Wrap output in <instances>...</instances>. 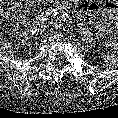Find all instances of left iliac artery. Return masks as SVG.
<instances>
[{
    "label": "left iliac artery",
    "instance_id": "44dca946",
    "mask_svg": "<svg viewBox=\"0 0 118 118\" xmlns=\"http://www.w3.org/2000/svg\"><path fill=\"white\" fill-rule=\"evenodd\" d=\"M61 18L64 22L68 23V24H72L73 23V19L71 18L70 15H68L67 13H63L61 15Z\"/></svg>",
    "mask_w": 118,
    "mask_h": 118
}]
</instances>
